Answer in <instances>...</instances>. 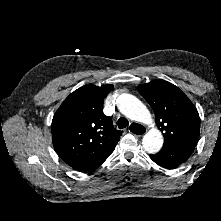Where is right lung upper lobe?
I'll use <instances>...</instances> for the list:
<instances>
[{"instance_id": "right-lung-upper-lobe-1", "label": "right lung upper lobe", "mask_w": 221, "mask_h": 221, "mask_svg": "<svg viewBox=\"0 0 221 221\" xmlns=\"http://www.w3.org/2000/svg\"><path fill=\"white\" fill-rule=\"evenodd\" d=\"M113 85L87 84L71 93L52 120L53 146L69 166L107 159L122 131L103 114V99Z\"/></svg>"}]
</instances>
